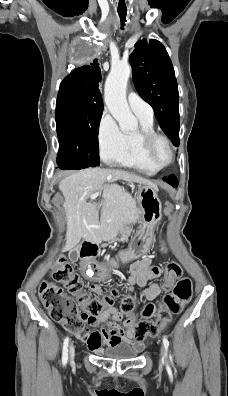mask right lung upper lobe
I'll list each match as a JSON object with an SVG mask.
<instances>
[{"mask_svg":"<svg viewBox=\"0 0 228 396\" xmlns=\"http://www.w3.org/2000/svg\"><path fill=\"white\" fill-rule=\"evenodd\" d=\"M101 70L98 59H94L88 65L74 69L60 84V93L74 95L79 101L89 106H103L99 91Z\"/></svg>","mask_w":228,"mask_h":396,"instance_id":"1","label":"right lung upper lobe"}]
</instances>
